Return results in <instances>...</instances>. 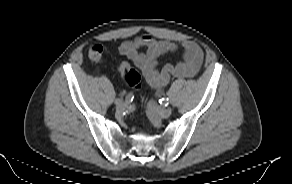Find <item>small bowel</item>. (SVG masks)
Here are the masks:
<instances>
[{"instance_id":"c3829d8e","label":"small bowel","mask_w":292,"mask_h":184,"mask_svg":"<svg viewBox=\"0 0 292 184\" xmlns=\"http://www.w3.org/2000/svg\"><path fill=\"white\" fill-rule=\"evenodd\" d=\"M181 47L183 48V60L176 64H167L160 70L156 68L158 57L176 51L177 44L170 41H158L151 36L142 35L133 40L123 41L118 50L122 56L141 70L145 79L152 86L161 88L167 85L172 77H194L201 67L202 49L192 41L183 42ZM124 66H128V64L121 63L120 69Z\"/></svg>"}]
</instances>
